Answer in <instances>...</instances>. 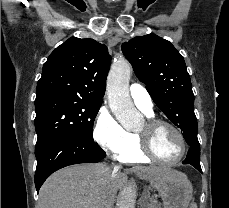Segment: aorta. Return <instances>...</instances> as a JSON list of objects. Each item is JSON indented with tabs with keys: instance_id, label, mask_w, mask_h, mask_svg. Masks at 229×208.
<instances>
[{
	"instance_id": "aorta-1",
	"label": "aorta",
	"mask_w": 229,
	"mask_h": 208,
	"mask_svg": "<svg viewBox=\"0 0 229 208\" xmlns=\"http://www.w3.org/2000/svg\"><path fill=\"white\" fill-rule=\"evenodd\" d=\"M132 67L127 61L114 63L107 79L109 106L125 129L132 130L142 121V115L135 108L129 94ZM136 191L131 185L121 192L119 208H135Z\"/></svg>"
}]
</instances>
